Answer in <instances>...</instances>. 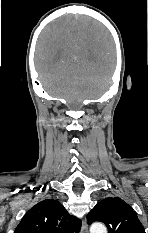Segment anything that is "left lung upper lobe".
<instances>
[{"label": "left lung upper lobe", "mask_w": 148, "mask_h": 233, "mask_svg": "<svg viewBox=\"0 0 148 233\" xmlns=\"http://www.w3.org/2000/svg\"><path fill=\"white\" fill-rule=\"evenodd\" d=\"M103 222L108 233H145L133 208L118 197L100 201L87 215V222Z\"/></svg>", "instance_id": "1"}]
</instances>
